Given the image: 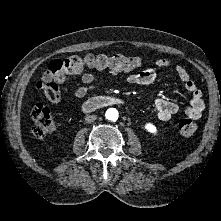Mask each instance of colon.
<instances>
[{"label":"colon","mask_w":221,"mask_h":221,"mask_svg":"<svg viewBox=\"0 0 221 221\" xmlns=\"http://www.w3.org/2000/svg\"><path fill=\"white\" fill-rule=\"evenodd\" d=\"M142 65L140 57H128L123 55H88L85 57L73 56L65 60H53L46 68L42 80L38 83V89L46 96L55 98L59 94L58 84L67 74L80 73L85 66L91 68H109L115 71H131ZM32 131L36 137H45L55 131L56 125L52 113L48 107L38 104L32 111ZM179 132L185 137H191L196 132V124L190 118H184L178 123Z\"/></svg>","instance_id":"obj_1"}]
</instances>
